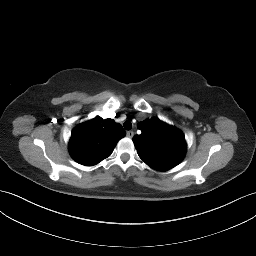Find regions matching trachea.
Returning a JSON list of instances; mask_svg holds the SVG:
<instances>
[{"label": "trachea", "mask_w": 256, "mask_h": 256, "mask_svg": "<svg viewBox=\"0 0 256 256\" xmlns=\"http://www.w3.org/2000/svg\"><path fill=\"white\" fill-rule=\"evenodd\" d=\"M123 126L126 130H130L132 128V124L130 121L124 122Z\"/></svg>", "instance_id": "obj_1"}]
</instances>
